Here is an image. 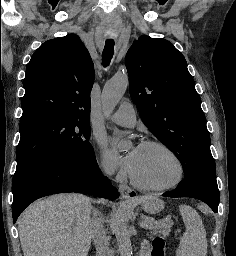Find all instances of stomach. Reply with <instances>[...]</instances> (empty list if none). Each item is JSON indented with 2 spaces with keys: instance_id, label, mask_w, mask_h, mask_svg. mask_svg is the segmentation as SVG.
Wrapping results in <instances>:
<instances>
[{
  "instance_id": "obj_1",
  "label": "stomach",
  "mask_w": 236,
  "mask_h": 256,
  "mask_svg": "<svg viewBox=\"0 0 236 256\" xmlns=\"http://www.w3.org/2000/svg\"><path fill=\"white\" fill-rule=\"evenodd\" d=\"M142 209L150 214H155L163 209V202L157 198H145L141 200Z\"/></svg>"
}]
</instances>
